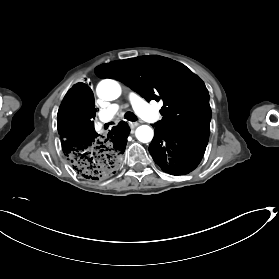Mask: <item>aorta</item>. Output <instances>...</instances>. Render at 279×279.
Returning a JSON list of instances; mask_svg holds the SVG:
<instances>
[{"instance_id": "1", "label": "aorta", "mask_w": 279, "mask_h": 279, "mask_svg": "<svg viewBox=\"0 0 279 279\" xmlns=\"http://www.w3.org/2000/svg\"><path fill=\"white\" fill-rule=\"evenodd\" d=\"M96 92L99 98L112 101L121 95V87L113 79H104L97 85ZM135 135L140 142L148 143L153 139L154 131L148 125H141L136 129Z\"/></svg>"}]
</instances>
